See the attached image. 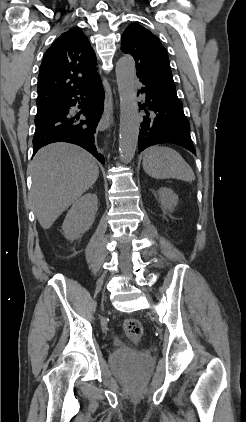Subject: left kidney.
Segmentation results:
<instances>
[{
    "mask_svg": "<svg viewBox=\"0 0 246 422\" xmlns=\"http://www.w3.org/2000/svg\"><path fill=\"white\" fill-rule=\"evenodd\" d=\"M159 201L164 210L173 212L174 207L178 204V195L172 189L161 187L158 190Z\"/></svg>",
    "mask_w": 246,
    "mask_h": 422,
    "instance_id": "obj_1",
    "label": "left kidney"
}]
</instances>
